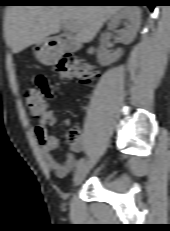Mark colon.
<instances>
[{
  "label": "colon",
  "mask_w": 170,
  "mask_h": 231,
  "mask_svg": "<svg viewBox=\"0 0 170 231\" xmlns=\"http://www.w3.org/2000/svg\"><path fill=\"white\" fill-rule=\"evenodd\" d=\"M54 70L61 79L77 78L84 84H91L99 77L96 66L84 58L72 55L63 56L55 65ZM24 96L31 116L40 117L46 111V100L40 90L32 87L26 88ZM68 136L70 141H73L80 136V131L77 128H71Z\"/></svg>",
  "instance_id": "obj_1"
}]
</instances>
